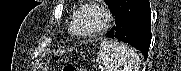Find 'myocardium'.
<instances>
[{
    "label": "myocardium",
    "instance_id": "obj_1",
    "mask_svg": "<svg viewBox=\"0 0 181 71\" xmlns=\"http://www.w3.org/2000/svg\"><path fill=\"white\" fill-rule=\"evenodd\" d=\"M87 10L95 11L101 18L100 25L90 32H82L79 29L80 18ZM112 16L110 11L99 2L91 1L82 5L74 14L73 20L70 26V32L82 39H91L103 34L111 25Z\"/></svg>",
    "mask_w": 181,
    "mask_h": 71
}]
</instances>
